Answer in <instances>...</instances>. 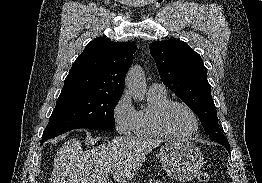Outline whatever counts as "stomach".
Here are the masks:
<instances>
[{
  "mask_svg": "<svg viewBox=\"0 0 262 183\" xmlns=\"http://www.w3.org/2000/svg\"><path fill=\"white\" fill-rule=\"evenodd\" d=\"M160 162L166 174L175 181H189L201 172L202 152L192 142L172 139L160 151Z\"/></svg>",
  "mask_w": 262,
  "mask_h": 183,
  "instance_id": "stomach-1",
  "label": "stomach"
}]
</instances>
